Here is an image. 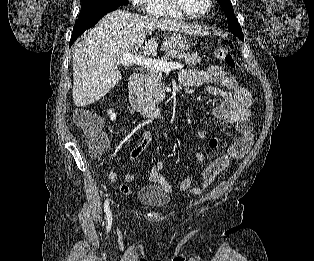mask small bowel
I'll use <instances>...</instances> for the list:
<instances>
[{"mask_svg": "<svg viewBox=\"0 0 314 261\" xmlns=\"http://www.w3.org/2000/svg\"><path fill=\"white\" fill-rule=\"evenodd\" d=\"M180 82L183 86L201 87L208 97H218L220 102L213 108L214 117L224 123L233 124L236 126L240 137L230 146L226 154L212 159L207 166L202 170V178L204 187H209L218 177V175L228 166L231 159L242 158L250 149L253 141L252 121L250 105L252 96L247 88L240 84L237 77L231 72L225 70L218 65H209L201 69H191L180 74ZM102 125V121L100 127ZM207 130L198 131L195 137L199 140L206 136ZM152 130L142 132L139 143L132 149L129 155V160L135 161L152 142ZM196 160L203 161L205 156L197 154ZM165 167L163 161L159 160L151 167L149 171L152 182L160 185L163 191L170 193L172 187L168 180L163 175L162 171ZM110 181H116V173L109 171L107 173ZM136 180L132 172L125 174L126 183H134ZM126 183H121L120 191L124 195H131L132 190ZM181 191H192L194 194H201L202 189L192 187V182L189 178H184L180 185Z\"/></svg>", "mask_w": 314, "mask_h": 261, "instance_id": "c3829d8e", "label": "small bowel"}]
</instances>
